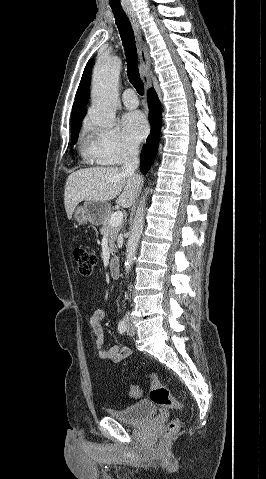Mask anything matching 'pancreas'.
Instances as JSON below:
<instances>
[{
  "label": "pancreas",
  "mask_w": 266,
  "mask_h": 479,
  "mask_svg": "<svg viewBox=\"0 0 266 479\" xmlns=\"http://www.w3.org/2000/svg\"><path fill=\"white\" fill-rule=\"evenodd\" d=\"M113 215L112 212H110L104 221L102 222V227L100 229V232L102 235H105L108 237V242H109V250L112 255L116 252V245L115 241L117 239L118 233L121 229V225L119 226H111L110 225V218Z\"/></svg>",
  "instance_id": "cf45deb5"
}]
</instances>
